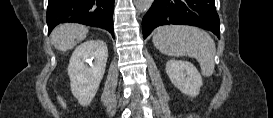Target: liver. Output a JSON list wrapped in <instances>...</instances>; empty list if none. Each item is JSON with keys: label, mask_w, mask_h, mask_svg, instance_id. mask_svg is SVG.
Wrapping results in <instances>:
<instances>
[{"label": "liver", "mask_w": 273, "mask_h": 118, "mask_svg": "<svg viewBox=\"0 0 273 118\" xmlns=\"http://www.w3.org/2000/svg\"><path fill=\"white\" fill-rule=\"evenodd\" d=\"M88 28L78 24H63L51 33L53 46L62 52L73 49L77 43L86 38Z\"/></svg>", "instance_id": "1"}]
</instances>
